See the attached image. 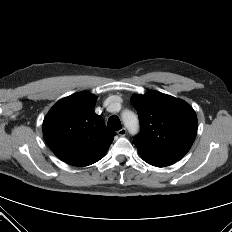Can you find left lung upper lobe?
Instances as JSON below:
<instances>
[{"label":"left lung upper lobe","mask_w":232,"mask_h":232,"mask_svg":"<svg viewBox=\"0 0 232 232\" xmlns=\"http://www.w3.org/2000/svg\"><path fill=\"white\" fill-rule=\"evenodd\" d=\"M131 103L137 110L141 133L134 138L145 161H178L190 150L197 133V117L185 101L149 91L133 95Z\"/></svg>","instance_id":"left-lung-upper-lobe-1"}]
</instances>
